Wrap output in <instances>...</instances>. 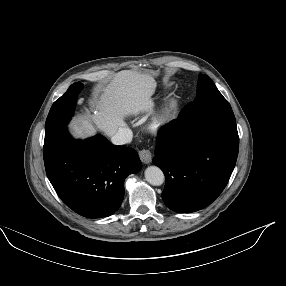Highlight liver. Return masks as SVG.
<instances>
[{"label":"liver","instance_id":"1","mask_svg":"<svg viewBox=\"0 0 286 286\" xmlns=\"http://www.w3.org/2000/svg\"><path fill=\"white\" fill-rule=\"evenodd\" d=\"M156 81L149 71L123 70L116 73L113 81L101 94L92 117H80L72 124L75 137L85 138L95 133L94 124L106 135L112 136L125 127L124 117L149 112L154 106L152 95Z\"/></svg>","mask_w":286,"mask_h":286}]
</instances>
